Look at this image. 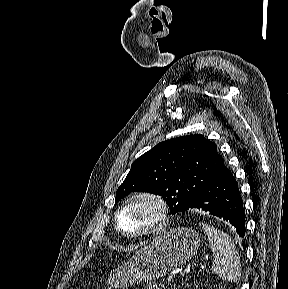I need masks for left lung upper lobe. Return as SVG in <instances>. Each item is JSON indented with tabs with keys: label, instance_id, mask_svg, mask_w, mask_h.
<instances>
[{
	"label": "left lung upper lobe",
	"instance_id": "obj_1",
	"mask_svg": "<svg viewBox=\"0 0 288 289\" xmlns=\"http://www.w3.org/2000/svg\"><path fill=\"white\" fill-rule=\"evenodd\" d=\"M224 167L216 144L203 135L170 139L133 162L115 203L131 192H150L162 196L172 214L184 212Z\"/></svg>",
	"mask_w": 288,
	"mask_h": 289
}]
</instances>
